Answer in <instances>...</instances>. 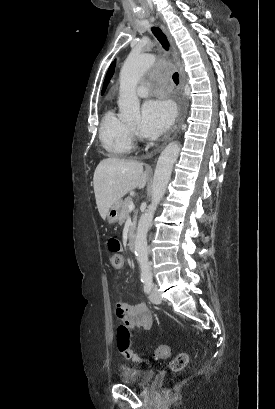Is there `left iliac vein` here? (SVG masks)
Returning <instances> with one entry per match:
<instances>
[{"mask_svg":"<svg viewBox=\"0 0 275 409\" xmlns=\"http://www.w3.org/2000/svg\"><path fill=\"white\" fill-rule=\"evenodd\" d=\"M149 300L151 303H154V304H160L162 302V298L157 288H152L151 293L149 295Z\"/></svg>","mask_w":275,"mask_h":409,"instance_id":"1","label":"left iliac vein"}]
</instances>
